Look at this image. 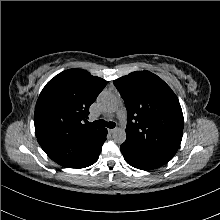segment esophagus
I'll return each mask as SVG.
<instances>
[{
    "label": "esophagus",
    "mask_w": 220,
    "mask_h": 220,
    "mask_svg": "<svg viewBox=\"0 0 220 220\" xmlns=\"http://www.w3.org/2000/svg\"><path fill=\"white\" fill-rule=\"evenodd\" d=\"M115 130H116V129H108V132H109L110 134H112V133L115 132Z\"/></svg>",
    "instance_id": "34e87169"
}]
</instances>
